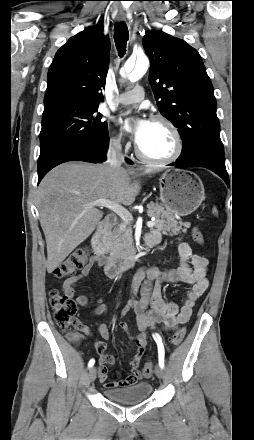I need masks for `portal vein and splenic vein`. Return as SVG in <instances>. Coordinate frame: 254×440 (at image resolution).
<instances>
[{
    "label": "portal vein and splenic vein",
    "mask_w": 254,
    "mask_h": 440,
    "mask_svg": "<svg viewBox=\"0 0 254 440\" xmlns=\"http://www.w3.org/2000/svg\"><path fill=\"white\" fill-rule=\"evenodd\" d=\"M86 206H88V207H96V206L106 207V208L110 209L111 211H113L114 213H116L126 223L133 220L132 214L127 209H125L123 206L119 205L118 203H115V202L108 200V199H99V200H96V201H93V202L86 204ZM146 225L148 227H154L156 225V222L154 220L148 221L146 223Z\"/></svg>",
    "instance_id": "1"
}]
</instances>
